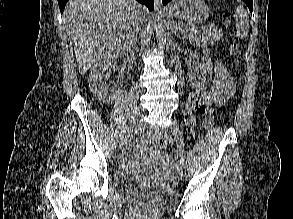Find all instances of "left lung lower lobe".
I'll return each mask as SVG.
<instances>
[{"mask_svg": "<svg viewBox=\"0 0 293 219\" xmlns=\"http://www.w3.org/2000/svg\"><path fill=\"white\" fill-rule=\"evenodd\" d=\"M169 1H171V0H162V2H163L164 5L167 4ZM243 1L246 3V5L248 6L250 12L252 13V10H253V0H243Z\"/></svg>", "mask_w": 293, "mask_h": 219, "instance_id": "left-lung-lower-lobe-1", "label": "left lung lower lobe"}]
</instances>
